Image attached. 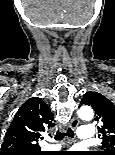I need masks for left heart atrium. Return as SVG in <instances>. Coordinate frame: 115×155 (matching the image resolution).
Here are the masks:
<instances>
[{
  "label": "left heart atrium",
  "instance_id": "1",
  "mask_svg": "<svg viewBox=\"0 0 115 155\" xmlns=\"http://www.w3.org/2000/svg\"><path fill=\"white\" fill-rule=\"evenodd\" d=\"M67 155H80V154H77L76 152H71V154H67Z\"/></svg>",
  "mask_w": 115,
  "mask_h": 155
}]
</instances>
